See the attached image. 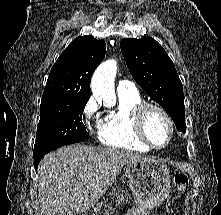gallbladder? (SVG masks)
Listing matches in <instances>:
<instances>
[{
	"label": "gallbladder",
	"mask_w": 221,
	"mask_h": 215,
	"mask_svg": "<svg viewBox=\"0 0 221 215\" xmlns=\"http://www.w3.org/2000/svg\"><path fill=\"white\" fill-rule=\"evenodd\" d=\"M66 215H78V213L74 209H70Z\"/></svg>",
	"instance_id": "bac80fb5"
}]
</instances>
